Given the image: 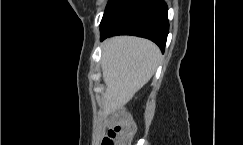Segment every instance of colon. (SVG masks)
I'll return each instance as SVG.
<instances>
[{"label": "colon", "mask_w": 243, "mask_h": 145, "mask_svg": "<svg viewBox=\"0 0 243 145\" xmlns=\"http://www.w3.org/2000/svg\"><path fill=\"white\" fill-rule=\"evenodd\" d=\"M136 126L125 111H118L113 117V126L102 141V145H129Z\"/></svg>", "instance_id": "1"}]
</instances>
